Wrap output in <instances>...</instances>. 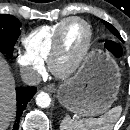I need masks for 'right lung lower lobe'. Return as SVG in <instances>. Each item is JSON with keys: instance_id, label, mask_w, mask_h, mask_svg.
<instances>
[{"instance_id": "1", "label": "right lung lower lobe", "mask_w": 130, "mask_h": 130, "mask_svg": "<svg viewBox=\"0 0 130 130\" xmlns=\"http://www.w3.org/2000/svg\"><path fill=\"white\" fill-rule=\"evenodd\" d=\"M35 93H36V87H19L16 89L17 114L13 130H18L19 120L22 115V112Z\"/></svg>"}]
</instances>
